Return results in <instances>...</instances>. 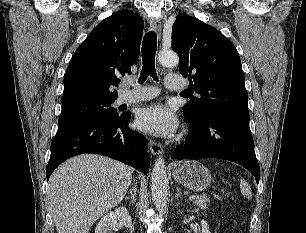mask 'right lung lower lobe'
<instances>
[{
  "instance_id": "obj_1",
  "label": "right lung lower lobe",
  "mask_w": 306,
  "mask_h": 233,
  "mask_svg": "<svg viewBox=\"0 0 306 233\" xmlns=\"http://www.w3.org/2000/svg\"><path fill=\"white\" fill-rule=\"evenodd\" d=\"M130 117V113L116 119L94 117L59 128L51 143L47 180L62 162L83 153L105 155L147 173L148 143L142 134L127 127Z\"/></svg>"
}]
</instances>
